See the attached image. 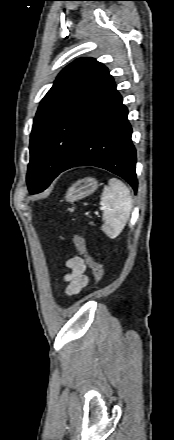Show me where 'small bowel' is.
I'll use <instances>...</instances> for the list:
<instances>
[{
	"instance_id": "c3829d8e",
	"label": "small bowel",
	"mask_w": 174,
	"mask_h": 440,
	"mask_svg": "<svg viewBox=\"0 0 174 440\" xmlns=\"http://www.w3.org/2000/svg\"><path fill=\"white\" fill-rule=\"evenodd\" d=\"M66 267L70 270L65 275V292L68 296L78 294L88 284V277L85 274L86 265L80 256H73L66 261Z\"/></svg>"
}]
</instances>
